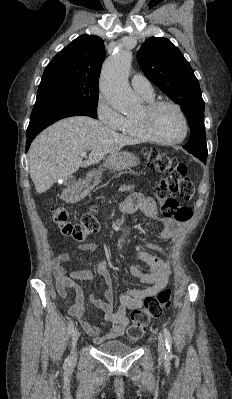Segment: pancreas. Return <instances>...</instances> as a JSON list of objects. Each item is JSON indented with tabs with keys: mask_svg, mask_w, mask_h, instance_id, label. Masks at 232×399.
Instances as JSON below:
<instances>
[{
	"mask_svg": "<svg viewBox=\"0 0 232 399\" xmlns=\"http://www.w3.org/2000/svg\"><path fill=\"white\" fill-rule=\"evenodd\" d=\"M135 186H120L119 192H133Z\"/></svg>",
	"mask_w": 232,
	"mask_h": 399,
	"instance_id": "1",
	"label": "pancreas"
}]
</instances>
